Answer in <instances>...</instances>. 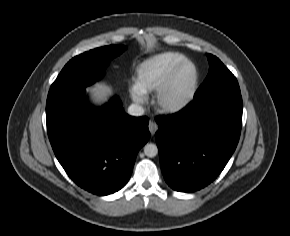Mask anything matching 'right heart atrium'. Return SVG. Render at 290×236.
Segmentation results:
<instances>
[{"label": "right heart atrium", "instance_id": "right-heart-atrium-1", "mask_svg": "<svg viewBox=\"0 0 290 236\" xmlns=\"http://www.w3.org/2000/svg\"><path fill=\"white\" fill-rule=\"evenodd\" d=\"M130 95L131 98L137 103H142L145 99L144 92L137 85L130 86Z\"/></svg>", "mask_w": 290, "mask_h": 236}]
</instances>
